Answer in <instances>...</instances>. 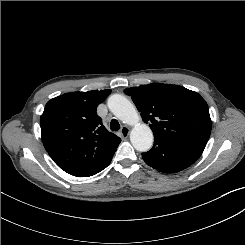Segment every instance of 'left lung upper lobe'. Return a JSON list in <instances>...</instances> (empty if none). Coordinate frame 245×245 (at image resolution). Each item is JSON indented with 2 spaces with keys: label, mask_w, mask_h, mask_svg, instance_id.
<instances>
[{
  "label": "left lung upper lobe",
  "mask_w": 245,
  "mask_h": 245,
  "mask_svg": "<svg viewBox=\"0 0 245 245\" xmlns=\"http://www.w3.org/2000/svg\"><path fill=\"white\" fill-rule=\"evenodd\" d=\"M135 103L154 138L204 150L210 133L208 105L196 92L182 86L153 83L124 90Z\"/></svg>",
  "instance_id": "obj_1"
}]
</instances>
